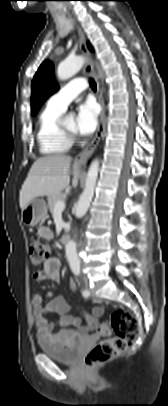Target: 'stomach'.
<instances>
[{
    "instance_id": "obj_1",
    "label": "stomach",
    "mask_w": 168,
    "mask_h": 406,
    "mask_svg": "<svg viewBox=\"0 0 168 406\" xmlns=\"http://www.w3.org/2000/svg\"><path fill=\"white\" fill-rule=\"evenodd\" d=\"M47 215V205L43 199L34 198L21 212V220L26 226L37 225Z\"/></svg>"
}]
</instances>
